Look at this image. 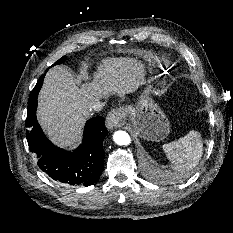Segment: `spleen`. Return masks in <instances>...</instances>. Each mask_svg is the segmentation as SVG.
<instances>
[{
	"mask_svg": "<svg viewBox=\"0 0 233 233\" xmlns=\"http://www.w3.org/2000/svg\"><path fill=\"white\" fill-rule=\"evenodd\" d=\"M167 158L173 164L175 172L169 177L189 174L195 168L203 154V142L197 131L191 130L179 140L162 145Z\"/></svg>",
	"mask_w": 233,
	"mask_h": 233,
	"instance_id": "obj_1",
	"label": "spleen"
}]
</instances>
